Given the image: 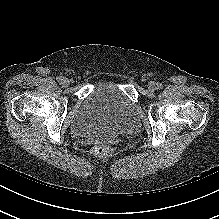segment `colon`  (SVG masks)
I'll return each mask as SVG.
<instances>
[{
  "label": "colon",
  "instance_id": "obj_1",
  "mask_svg": "<svg viewBox=\"0 0 219 219\" xmlns=\"http://www.w3.org/2000/svg\"><path fill=\"white\" fill-rule=\"evenodd\" d=\"M112 149L108 145H96L92 148V154L99 157H106L110 155Z\"/></svg>",
  "mask_w": 219,
  "mask_h": 219
}]
</instances>
